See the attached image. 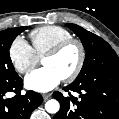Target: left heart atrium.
I'll return each instance as SVG.
<instances>
[{"label": "left heart atrium", "mask_w": 119, "mask_h": 119, "mask_svg": "<svg viewBox=\"0 0 119 119\" xmlns=\"http://www.w3.org/2000/svg\"><path fill=\"white\" fill-rule=\"evenodd\" d=\"M62 79L54 68L44 66L30 73L25 78V85L30 90L44 93L54 89Z\"/></svg>", "instance_id": "1"}]
</instances>
